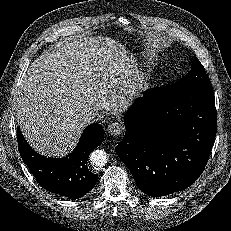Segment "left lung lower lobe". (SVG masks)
<instances>
[{"mask_svg":"<svg viewBox=\"0 0 231 231\" xmlns=\"http://www.w3.org/2000/svg\"><path fill=\"white\" fill-rule=\"evenodd\" d=\"M156 88L147 90L126 113V133L116 146L138 188L151 197L195 182L217 132L213 90L161 95Z\"/></svg>","mask_w":231,"mask_h":231,"instance_id":"left-lung-lower-lobe-1","label":"left lung lower lobe"}]
</instances>
